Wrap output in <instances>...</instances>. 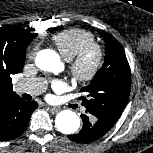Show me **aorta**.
<instances>
[{
	"label": "aorta",
	"mask_w": 153,
	"mask_h": 153,
	"mask_svg": "<svg viewBox=\"0 0 153 153\" xmlns=\"http://www.w3.org/2000/svg\"><path fill=\"white\" fill-rule=\"evenodd\" d=\"M35 61L37 67L44 71L57 72L61 66L58 54L52 50L38 52ZM55 124L61 133L73 134L80 127V119L75 112L63 110L57 114Z\"/></svg>",
	"instance_id": "obj_1"
}]
</instances>
